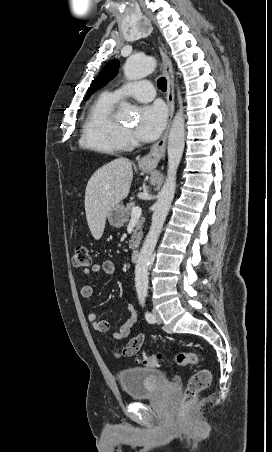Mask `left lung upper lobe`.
Here are the masks:
<instances>
[{
    "mask_svg": "<svg viewBox=\"0 0 272 452\" xmlns=\"http://www.w3.org/2000/svg\"><path fill=\"white\" fill-rule=\"evenodd\" d=\"M118 68V60L114 59L109 61L90 85L86 94V99L97 89L105 86L111 79H113L118 72Z\"/></svg>",
    "mask_w": 272,
    "mask_h": 452,
    "instance_id": "5c2ea615",
    "label": "left lung upper lobe"
}]
</instances>
